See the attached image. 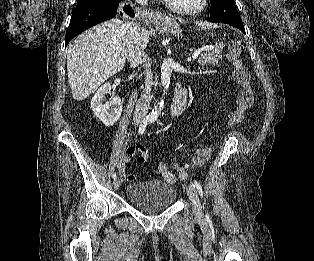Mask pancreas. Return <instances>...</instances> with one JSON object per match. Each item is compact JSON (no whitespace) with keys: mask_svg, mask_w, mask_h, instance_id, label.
I'll return each mask as SVG.
<instances>
[{"mask_svg":"<svg viewBox=\"0 0 314 261\" xmlns=\"http://www.w3.org/2000/svg\"><path fill=\"white\" fill-rule=\"evenodd\" d=\"M224 44L222 42H218L213 46V49L202 55L198 63L202 66H209V65H217L218 60L222 58L221 52L224 48Z\"/></svg>","mask_w":314,"mask_h":261,"instance_id":"1","label":"pancreas"}]
</instances>
